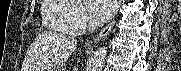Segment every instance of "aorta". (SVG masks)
<instances>
[{
	"label": "aorta",
	"instance_id": "aorta-1",
	"mask_svg": "<svg viewBox=\"0 0 181 71\" xmlns=\"http://www.w3.org/2000/svg\"><path fill=\"white\" fill-rule=\"evenodd\" d=\"M107 49V47L103 46L96 51L89 61L86 71H102L105 65Z\"/></svg>",
	"mask_w": 181,
	"mask_h": 71
}]
</instances>
